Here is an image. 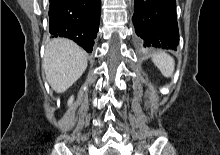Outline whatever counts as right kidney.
Segmentation results:
<instances>
[{
  "label": "right kidney",
  "mask_w": 220,
  "mask_h": 155,
  "mask_svg": "<svg viewBox=\"0 0 220 155\" xmlns=\"http://www.w3.org/2000/svg\"><path fill=\"white\" fill-rule=\"evenodd\" d=\"M72 101H73V97H71V98L69 99L68 104L70 105V104L72 103Z\"/></svg>",
  "instance_id": "right-kidney-1"
}]
</instances>
